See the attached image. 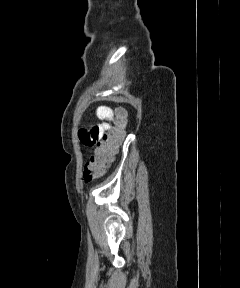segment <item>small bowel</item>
Listing matches in <instances>:
<instances>
[{"mask_svg":"<svg viewBox=\"0 0 240 288\" xmlns=\"http://www.w3.org/2000/svg\"><path fill=\"white\" fill-rule=\"evenodd\" d=\"M98 124L91 128H83L78 132L82 144L85 146H94L102 137L103 133L111 129L110 121L113 119L114 112L110 107L100 106L95 111Z\"/></svg>","mask_w":240,"mask_h":288,"instance_id":"obj_1","label":"small bowel"}]
</instances>
